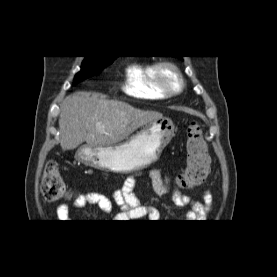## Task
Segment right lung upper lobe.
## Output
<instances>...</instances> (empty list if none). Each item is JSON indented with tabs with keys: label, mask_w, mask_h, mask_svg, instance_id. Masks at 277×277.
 Returning a JSON list of instances; mask_svg holds the SVG:
<instances>
[{
	"label": "right lung upper lobe",
	"mask_w": 277,
	"mask_h": 277,
	"mask_svg": "<svg viewBox=\"0 0 277 277\" xmlns=\"http://www.w3.org/2000/svg\"><path fill=\"white\" fill-rule=\"evenodd\" d=\"M87 57H100V58L112 59V58H116L117 56H87Z\"/></svg>",
	"instance_id": "cb5924a9"
}]
</instances>
